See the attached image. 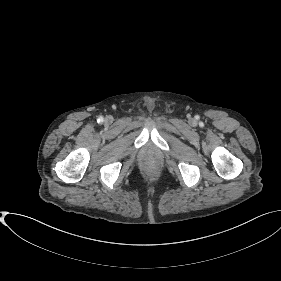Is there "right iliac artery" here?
Segmentation results:
<instances>
[{"mask_svg": "<svg viewBox=\"0 0 281 281\" xmlns=\"http://www.w3.org/2000/svg\"><path fill=\"white\" fill-rule=\"evenodd\" d=\"M97 121H98V123H101V122H103V118L99 117V119Z\"/></svg>", "mask_w": 281, "mask_h": 281, "instance_id": "82829eb1", "label": "right iliac artery"}]
</instances>
